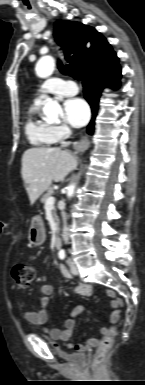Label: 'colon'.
Returning <instances> with one entry per match:
<instances>
[{"label": "colon", "mask_w": 145, "mask_h": 385, "mask_svg": "<svg viewBox=\"0 0 145 385\" xmlns=\"http://www.w3.org/2000/svg\"><path fill=\"white\" fill-rule=\"evenodd\" d=\"M13 279L20 287H27L34 277V269L31 265L18 263L13 267ZM117 332V326L112 325L109 333L100 342L97 349V361L101 362L111 348L113 338Z\"/></svg>", "instance_id": "5ec220e1"}]
</instances>
